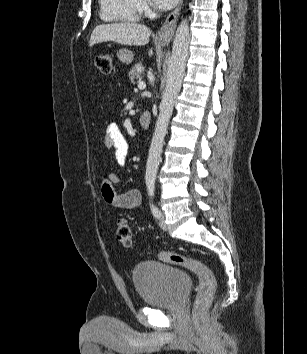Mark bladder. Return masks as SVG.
Returning a JSON list of instances; mask_svg holds the SVG:
<instances>
[{
    "instance_id": "31cf9c89",
    "label": "bladder",
    "mask_w": 307,
    "mask_h": 354,
    "mask_svg": "<svg viewBox=\"0 0 307 354\" xmlns=\"http://www.w3.org/2000/svg\"><path fill=\"white\" fill-rule=\"evenodd\" d=\"M132 280L145 304L164 308L180 305L191 287L185 271L153 260L138 263Z\"/></svg>"
}]
</instances>
